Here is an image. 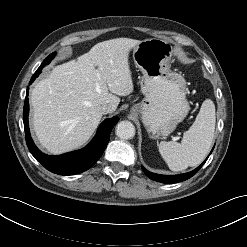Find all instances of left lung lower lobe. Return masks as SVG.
I'll use <instances>...</instances> for the list:
<instances>
[{"label": "left lung lower lobe", "mask_w": 247, "mask_h": 247, "mask_svg": "<svg viewBox=\"0 0 247 247\" xmlns=\"http://www.w3.org/2000/svg\"><path fill=\"white\" fill-rule=\"evenodd\" d=\"M212 151H213V149H212ZM208 157L206 158V160L208 159ZM206 160L199 167H197L195 170H193L189 173L181 174V175L165 176V175L154 174V173H151L148 170H146L144 167H142V170L150 179H152L154 181H158L161 183H177V182L185 181V180L191 178L193 175H195L198 172V170L203 166V164L206 162Z\"/></svg>", "instance_id": "left-lung-lower-lobe-1"}]
</instances>
